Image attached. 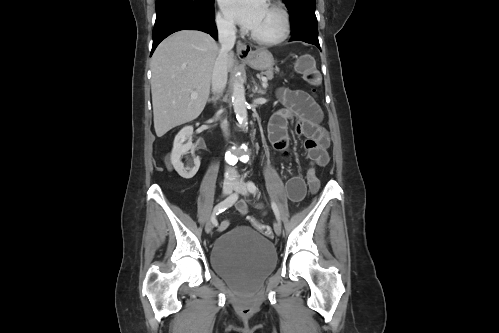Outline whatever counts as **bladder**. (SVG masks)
<instances>
[{
  "mask_svg": "<svg viewBox=\"0 0 499 333\" xmlns=\"http://www.w3.org/2000/svg\"><path fill=\"white\" fill-rule=\"evenodd\" d=\"M213 270L239 288L260 284L277 265L274 245L255 229L238 225L223 232L210 250Z\"/></svg>",
  "mask_w": 499,
  "mask_h": 333,
  "instance_id": "obj_1",
  "label": "bladder"
}]
</instances>
